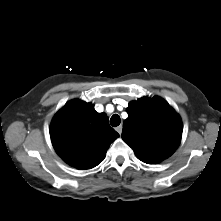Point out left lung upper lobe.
Masks as SVG:
<instances>
[{
	"instance_id": "obj_1",
	"label": "left lung upper lobe",
	"mask_w": 221,
	"mask_h": 221,
	"mask_svg": "<svg viewBox=\"0 0 221 221\" xmlns=\"http://www.w3.org/2000/svg\"><path fill=\"white\" fill-rule=\"evenodd\" d=\"M122 139L141 161L159 163L179 146L182 122L179 115L160 97H143L129 103Z\"/></svg>"
}]
</instances>
